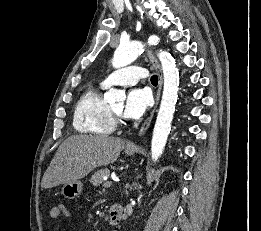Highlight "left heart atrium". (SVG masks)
<instances>
[{"label":"left heart atrium","mask_w":261,"mask_h":231,"mask_svg":"<svg viewBox=\"0 0 261 231\" xmlns=\"http://www.w3.org/2000/svg\"><path fill=\"white\" fill-rule=\"evenodd\" d=\"M151 103V96L143 88L131 89L126 97L123 114L128 119H139Z\"/></svg>","instance_id":"1"}]
</instances>
